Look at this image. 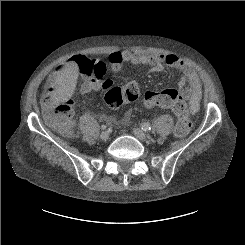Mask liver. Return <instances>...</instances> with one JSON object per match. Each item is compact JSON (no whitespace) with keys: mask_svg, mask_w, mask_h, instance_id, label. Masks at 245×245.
I'll use <instances>...</instances> for the list:
<instances>
[{"mask_svg":"<svg viewBox=\"0 0 245 245\" xmlns=\"http://www.w3.org/2000/svg\"><path fill=\"white\" fill-rule=\"evenodd\" d=\"M77 77L78 66L74 62L67 63L58 73L55 89L51 95V100L54 105L68 100L73 95Z\"/></svg>","mask_w":245,"mask_h":245,"instance_id":"6515ba94","label":"liver"}]
</instances>
